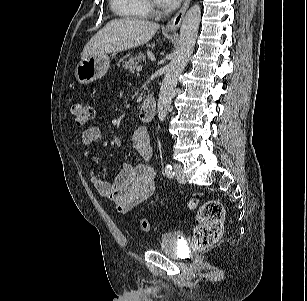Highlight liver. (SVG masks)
<instances>
[{"instance_id":"1","label":"liver","mask_w":307,"mask_h":301,"mask_svg":"<svg viewBox=\"0 0 307 301\" xmlns=\"http://www.w3.org/2000/svg\"><path fill=\"white\" fill-rule=\"evenodd\" d=\"M159 28V24L142 19L111 20L86 44L81 59L144 45L152 39Z\"/></svg>"}]
</instances>
